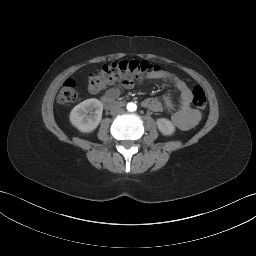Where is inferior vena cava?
<instances>
[{"label": "inferior vena cava", "instance_id": "1", "mask_svg": "<svg viewBox=\"0 0 256 256\" xmlns=\"http://www.w3.org/2000/svg\"><path fill=\"white\" fill-rule=\"evenodd\" d=\"M123 112L124 111H123L122 108L117 107V108L112 109L110 113H111V115H117V114H120V113H123Z\"/></svg>", "mask_w": 256, "mask_h": 256}]
</instances>
